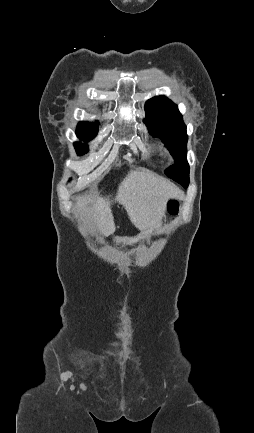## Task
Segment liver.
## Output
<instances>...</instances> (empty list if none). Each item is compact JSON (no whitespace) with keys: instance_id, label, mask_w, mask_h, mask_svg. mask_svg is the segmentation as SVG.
<instances>
[{"instance_id":"6515ba94","label":"liver","mask_w":254,"mask_h":433,"mask_svg":"<svg viewBox=\"0 0 254 433\" xmlns=\"http://www.w3.org/2000/svg\"><path fill=\"white\" fill-rule=\"evenodd\" d=\"M179 194L180 190L167 179L146 170H131L119 185L114 201L123 205L135 227L144 231L161 220L168 200ZM114 201L109 196L79 197L77 211L91 215L99 231L109 236L116 229L111 210Z\"/></svg>"}]
</instances>
